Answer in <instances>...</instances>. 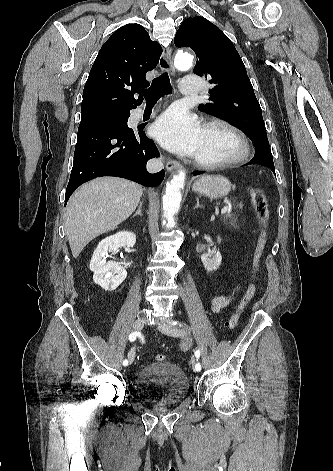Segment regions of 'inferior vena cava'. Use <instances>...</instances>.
I'll use <instances>...</instances> for the list:
<instances>
[{
    "label": "inferior vena cava",
    "instance_id": "602c4592",
    "mask_svg": "<svg viewBox=\"0 0 333 471\" xmlns=\"http://www.w3.org/2000/svg\"><path fill=\"white\" fill-rule=\"evenodd\" d=\"M163 167L161 159H151L147 162V170L151 173L160 171Z\"/></svg>",
    "mask_w": 333,
    "mask_h": 471
}]
</instances>
